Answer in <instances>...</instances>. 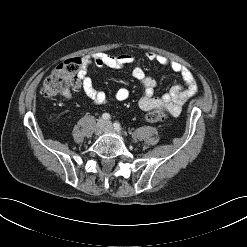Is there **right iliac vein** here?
I'll list each match as a JSON object with an SVG mask.
<instances>
[{
	"label": "right iliac vein",
	"mask_w": 247,
	"mask_h": 247,
	"mask_svg": "<svg viewBox=\"0 0 247 247\" xmlns=\"http://www.w3.org/2000/svg\"><path fill=\"white\" fill-rule=\"evenodd\" d=\"M106 128V123L104 122L103 119H99L98 122L96 123L94 132L96 135H100Z\"/></svg>",
	"instance_id": "63e3f726"
}]
</instances>
